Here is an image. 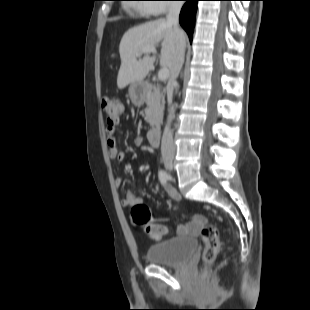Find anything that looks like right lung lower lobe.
Instances as JSON below:
<instances>
[{"instance_id": "right-lung-lower-lobe-1", "label": "right lung lower lobe", "mask_w": 310, "mask_h": 310, "mask_svg": "<svg viewBox=\"0 0 310 310\" xmlns=\"http://www.w3.org/2000/svg\"><path fill=\"white\" fill-rule=\"evenodd\" d=\"M187 1L180 12L179 21L180 25L187 32L190 42L193 38V29L195 26V14L197 10L198 0H185Z\"/></svg>"}]
</instances>
